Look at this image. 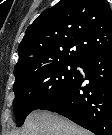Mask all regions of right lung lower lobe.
Instances as JSON below:
<instances>
[{
  "instance_id": "98d812e1",
  "label": "right lung lower lobe",
  "mask_w": 112,
  "mask_h": 135,
  "mask_svg": "<svg viewBox=\"0 0 112 135\" xmlns=\"http://www.w3.org/2000/svg\"><path fill=\"white\" fill-rule=\"evenodd\" d=\"M75 83L38 109L67 117L95 135H112V48L80 62Z\"/></svg>"
}]
</instances>
